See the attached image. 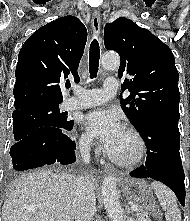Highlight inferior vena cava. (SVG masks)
<instances>
[{"label":"inferior vena cava","mask_w":190,"mask_h":221,"mask_svg":"<svg viewBox=\"0 0 190 221\" xmlns=\"http://www.w3.org/2000/svg\"><path fill=\"white\" fill-rule=\"evenodd\" d=\"M79 151L85 163L90 161V142L81 140ZM75 221H92L96 213L95 192L88 175L79 176L74 182Z\"/></svg>","instance_id":"1"}]
</instances>
